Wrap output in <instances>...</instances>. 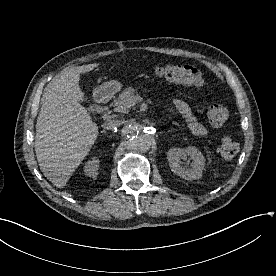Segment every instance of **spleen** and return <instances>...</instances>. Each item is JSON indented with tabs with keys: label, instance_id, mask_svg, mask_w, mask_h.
<instances>
[{
	"label": "spleen",
	"instance_id": "obj_1",
	"mask_svg": "<svg viewBox=\"0 0 276 276\" xmlns=\"http://www.w3.org/2000/svg\"><path fill=\"white\" fill-rule=\"evenodd\" d=\"M214 176H215V177H218V173H215Z\"/></svg>",
	"mask_w": 276,
	"mask_h": 276
}]
</instances>
